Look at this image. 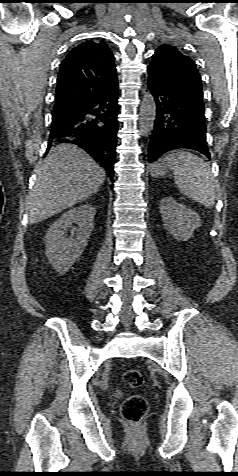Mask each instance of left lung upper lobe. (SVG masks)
Segmentation results:
<instances>
[{
	"mask_svg": "<svg viewBox=\"0 0 238 476\" xmlns=\"http://www.w3.org/2000/svg\"><path fill=\"white\" fill-rule=\"evenodd\" d=\"M148 71L177 92L202 101L201 77L194 61L171 45L160 46L152 56Z\"/></svg>",
	"mask_w": 238,
	"mask_h": 476,
	"instance_id": "1",
	"label": "left lung upper lobe"
}]
</instances>
